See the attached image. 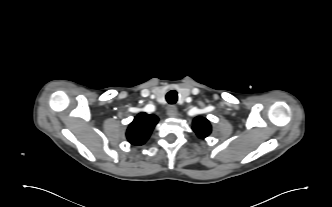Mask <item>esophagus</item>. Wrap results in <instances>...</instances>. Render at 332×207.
Segmentation results:
<instances>
[{"label":"esophagus","instance_id":"34e87169","mask_svg":"<svg viewBox=\"0 0 332 207\" xmlns=\"http://www.w3.org/2000/svg\"><path fill=\"white\" fill-rule=\"evenodd\" d=\"M167 115L169 117H176L178 115V110L175 106H169L167 109Z\"/></svg>","mask_w":332,"mask_h":207}]
</instances>
